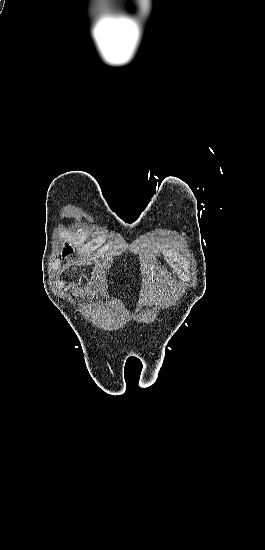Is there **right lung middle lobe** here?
Segmentation results:
<instances>
[{
    "label": "right lung middle lobe",
    "instance_id": "obj_1",
    "mask_svg": "<svg viewBox=\"0 0 265 550\" xmlns=\"http://www.w3.org/2000/svg\"><path fill=\"white\" fill-rule=\"evenodd\" d=\"M72 252H73L72 248H70V247L67 245V247H66V248L64 249V251H63V257H65L66 255H68L69 253H72Z\"/></svg>",
    "mask_w": 265,
    "mask_h": 550
}]
</instances>
